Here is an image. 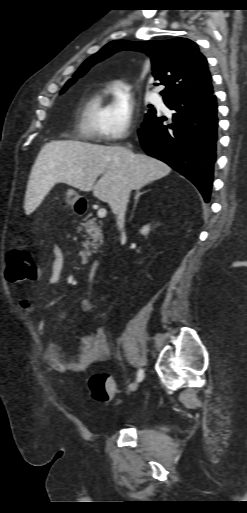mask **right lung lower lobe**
Returning a JSON list of instances; mask_svg holds the SVG:
<instances>
[{
    "label": "right lung lower lobe",
    "instance_id": "obj_1",
    "mask_svg": "<svg viewBox=\"0 0 247 513\" xmlns=\"http://www.w3.org/2000/svg\"><path fill=\"white\" fill-rule=\"evenodd\" d=\"M170 120L148 113L138 130L139 140L150 156L158 158L188 178L209 202L217 149V102L214 92L206 97L169 98Z\"/></svg>",
    "mask_w": 247,
    "mask_h": 513
}]
</instances>
